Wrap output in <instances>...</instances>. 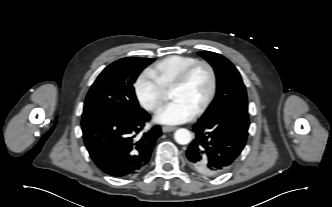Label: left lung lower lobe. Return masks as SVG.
<instances>
[{
  "label": "left lung lower lobe",
  "mask_w": 332,
  "mask_h": 207,
  "mask_svg": "<svg viewBox=\"0 0 332 207\" xmlns=\"http://www.w3.org/2000/svg\"><path fill=\"white\" fill-rule=\"evenodd\" d=\"M247 111L231 110L193 125L195 139L186 156L189 166L205 176L227 171L242 152L249 128Z\"/></svg>",
  "instance_id": "1"
}]
</instances>
